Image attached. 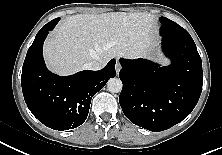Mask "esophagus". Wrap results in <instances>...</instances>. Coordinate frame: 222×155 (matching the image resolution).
Returning a JSON list of instances; mask_svg holds the SVG:
<instances>
[{
    "mask_svg": "<svg viewBox=\"0 0 222 155\" xmlns=\"http://www.w3.org/2000/svg\"><path fill=\"white\" fill-rule=\"evenodd\" d=\"M115 69H116V73L119 74L121 70V64L119 62H116Z\"/></svg>",
    "mask_w": 222,
    "mask_h": 155,
    "instance_id": "esophagus-1",
    "label": "esophagus"
}]
</instances>
